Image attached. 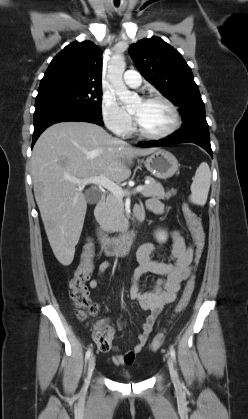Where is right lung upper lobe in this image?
<instances>
[{
  "label": "right lung upper lobe",
  "mask_w": 248,
  "mask_h": 419,
  "mask_svg": "<svg viewBox=\"0 0 248 419\" xmlns=\"http://www.w3.org/2000/svg\"><path fill=\"white\" fill-rule=\"evenodd\" d=\"M102 51L91 41L67 45L51 61L39 90L52 87L101 89Z\"/></svg>",
  "instance_id": "cb5924a9"
}]
</instances>
